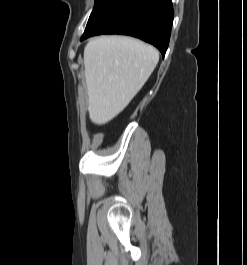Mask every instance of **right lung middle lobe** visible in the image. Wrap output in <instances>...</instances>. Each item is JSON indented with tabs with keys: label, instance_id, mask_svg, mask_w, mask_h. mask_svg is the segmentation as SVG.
<instances>
[{
	"label": "right lung middle lobe",
	"instance_id": "dd1d6c3e",
	"mask_svg": "<svg viewBox=\"0 0 247 265\" xmlns=\"http://www.w3.org/2000/svg\"><path fill=\"white\" fill-rule=\"evenodd\" d=\"M100 1H101V0H96V1H95V7L99 4ZM95 7H94V8H95Z\"/></svg>",
	"mask_w": 247,
	"mask_h": 265
}]
</instances>
